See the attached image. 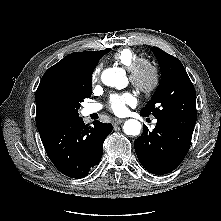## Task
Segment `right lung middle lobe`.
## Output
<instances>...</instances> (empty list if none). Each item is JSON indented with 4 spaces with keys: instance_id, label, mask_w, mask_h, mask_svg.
Returning a JSON list of instances; mask_svg holds the SVG:
<instances>
[{
    "instance_id": "1",
    "label": "right lung middle lobe",
    "mask_w": 221,
    "mask_h": 221,
    "mask_svg": "<svg viewBox=\"0 0 221 221\" xmlns=\"http://www.w3.org/2000/svg\"><path fill=\"white\" fill-rule=\"evenodd\" d=\"M92 74L75 84H55L42 97L45 112L66 122L79 118L78 109L92 93Z\"/></svg>"
}]
</instances>
